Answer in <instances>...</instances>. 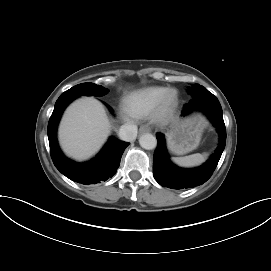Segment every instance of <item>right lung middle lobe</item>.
<instances>
[{
	"label": "right lung middle lobe",
	"instance_id": "right-lung-middle-lobe-1",
	"mask_svg": "<svg viewBox=\"0 0 271 271\" xmlns=\"http://www.w3.org/2000/svg\"><path fill=\"white\" fill-rule=\"evenodd\" d=\"M108 93V89L94 83L78 84L71 89L65 91L60 97L77 98L80 95L101 97Z\"/></svg>",
	"mask_w": 271,
	"mask_h": 271
}]
</instances>
